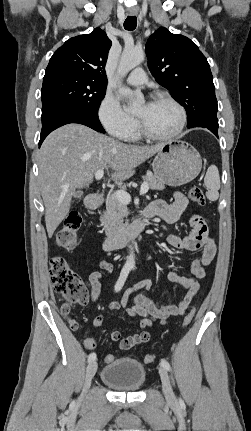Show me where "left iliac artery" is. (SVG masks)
I'll return each instance as SVG.
<instances>
[{
	"instance_id": "1",
	"label": "left iliac artery",
	"mask_w": 251,
	"mask_h": 431,
	"mask_svg": "<svg viewBox=\"0 0 251 431\" xmlns=\"http://www.w3.org/2000/svg\"><path fill=\"white\" fill-rule=\"evenodd\" d=\"M161 366H163L166 370L170 371L171 370V366L169 364L168 361H166L165 359H162L160 362Z\"/></svg>"
}]
</instances>
